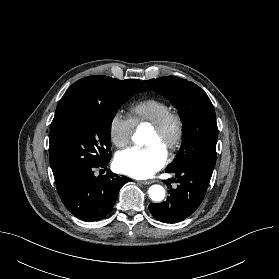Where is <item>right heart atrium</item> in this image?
Segmentation results:
<instances>
[{
  "mask_svg": "<svg viewBox=\"0 0 279 279\" xmlns=\"http://www.w3.org/2000/svg\"><path fill=\"white\" fill-rule=\"evenodd\" d=\"M135 125L130 117L123 115L121 112L113 114L109 121L108 133L109 138L116 147H125L132 139Z\"/></svg>",
  "mask_w": 279,
  "mask_h": 279,
  "instance_id": "right-heart-atrium-1",
  "label": "right heart atrium"
}]
</instances>
